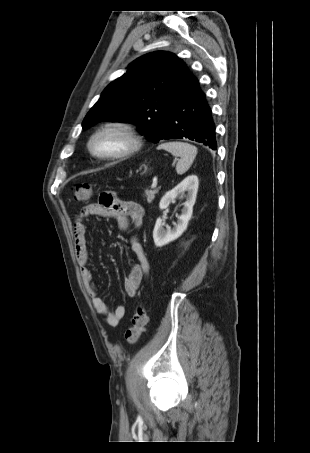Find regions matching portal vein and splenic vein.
Returning a JSON list of instances; mask_svg holds the SVG:
<instances>
[{"label": "portal vein and splenic vein", "mask_w": 310, "mask_h": 453, "mask_svg": "<svg viewBox=\"0 0 310 453\" xmlns=\"http://www.w3.org/2000/svg\"><path fill=\"white\" fill-rule=\"evenodd\" d=\"M157 187V178H154L153 183L151 185V188H156Z\"/></svg>", "instance_id": "18ae733b"}]
</instances>
